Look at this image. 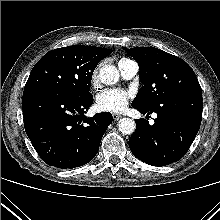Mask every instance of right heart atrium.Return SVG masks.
Returning a JSON list of instances; mask_svg holds the SVG:
<instances>
[{
  "instance_id": "right-heart-atrium-1",
  "label": "right heart atrium",
  "mask_w": 220,
  "mask_h": 220,
  "mask_svg": "<svg viewBox=\"0 0 220 220\" xmlns=\"http://www.w3.org/2000/svg\"><path fill=\"white\" fill-rule=\"evenodd\" d=\"M91 80H92V83H93V84L97 83V81H98V71H97V70H95V71L92 73Z\"/></svg>"
}]
</instances>
